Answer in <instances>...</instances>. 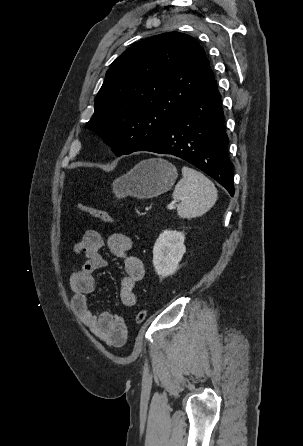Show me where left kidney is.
<instances>
[{
	"mask_svg": "<svg viewBox=\"0 0 303 446\" xmlns=\"http://www.w3.org/2000/svg\"><path fill=\"white\" fill-rule=\"evenodd\" d=\"M184 233L163 231L153 247V265L156 273L165 278L173 275L186 252Z\"/></svg>",
	"mask_w": 303,
	"mask_h": 446,
	"instance_id": "1",
	"label": "left kidney"
}]
</instances>
